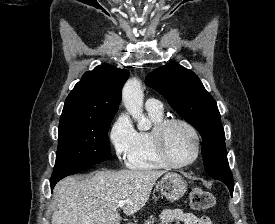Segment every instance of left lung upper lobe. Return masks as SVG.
<instances>
[{"label": "left lung upper lobe", "mask_w": 275, "mask_h": 224, "mask_svg": "<svg viewBox=\"0 0 275 224\" xmlns=\"http://www.w3.org/2000/svg\"><path fill=\"white\" fill-rule=\"evenodd\" d=\"M145 83L162 94L171 107L199 131L208 175L217 180L233 181L220 113L198 76L171 62L148 74Z\"/></svg>", "instance_id": "1"}]
</instances>
